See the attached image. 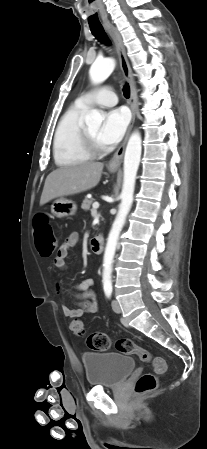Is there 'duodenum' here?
Instances as JSON below:
<instances>
[{"label": "duodenum", "mask_w": 207, "mask_h": 449, "mask_svg": "<svg viewBox=\"0 0 207 449\" xmlns=\"http://www.w3.org/2000/svg\"><path fill=\"white\" fill-rule=\"evenodd\" d=\"M90 244H91L92 251L94 253L99 254V253H101L103 251L104 240H103V237L101 235L94 236L91 239Z\"/></svg>", "instance_id": "1"}]
</instances>
